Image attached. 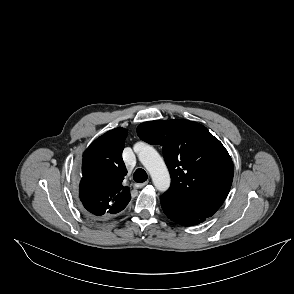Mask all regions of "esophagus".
<instances>
[{
    "label": "esophagus",
    "mask_w": 294,
    "mask_h": 294,
    "mask_svg": "<svg viewBox=\"0 0 294 294\" xmlns=\"http://www.w3.org/2000/svg\"><path fill=\"white\" fill-rule=\"evenodd\" d=\"M147 183H148V182H144V183H135V184L133 185V187H134L135 189H139V188H142V187H144L145 185H147Z\"/></svg>",
    "instance_id": "1"
}]
</instances>
